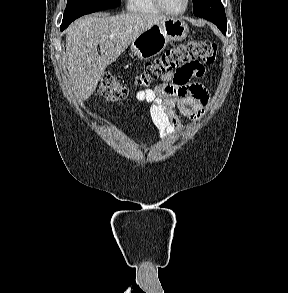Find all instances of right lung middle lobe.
Listing matches in <instances>:
<instances>
[{
	"mask_svg": "<svg viewBox=\"0 0 288 293\" xmlns=\"http://www.w3.org/2000/svg\"><path fill=\"white\" fill-rule=\"evenodd\" d=\"M120 4L121 0H68L60 30L67 28L72 21L82 15L116 8Z\"/></svg>",
	"mask_w": 288,
	"mask_h": 293,
	"instance_id": "dd1d6c3e",
	"label": "right lung middle lobe"
}]
</instances>
